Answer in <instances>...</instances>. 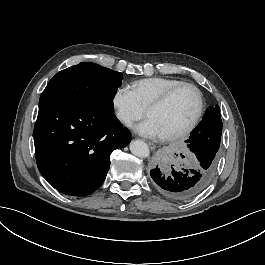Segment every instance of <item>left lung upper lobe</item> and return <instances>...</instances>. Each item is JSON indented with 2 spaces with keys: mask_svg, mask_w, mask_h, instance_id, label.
I'll list each match as a JSON object with an SVG mask.
<instances>
[{
  "mask_svg": "<svg viewBox=\"0 0 265 265\" xmlns=\"http://www.w3.org/2000/svg\"><path fill=\"white\" fill-rule=\"evenodd\" d=\"M191 134H196L200 138L207 139L210 142L220 143L222 134V121L220 108L218 105L215 107H210L207 110L202 121L191 132Z\"/></svg>",
  "mask_w": 265,
  "mask_h": 265,
  "instance_id": "obj_1",
  "label": "left lung upper lobe"
}]
</instances>
